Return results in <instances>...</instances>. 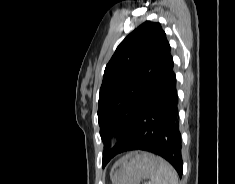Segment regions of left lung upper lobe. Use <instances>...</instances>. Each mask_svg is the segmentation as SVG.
<instances>
[{
    "label": "left lung upper lobe",
    "mask_w": 235,
    "mask_h": 184,
    "mask_svg": "<svg viewBox=\"0 0 235 184\" xmlns=\"http://www.w3.org/2000/svg\"><path fill=\"white\" fill-rule=\"evenodd\" d=\"M166 43L161 25L146 21L119 44L108 62L100 88L98 121L104 148L108 147L112 135H116L119 142L113 149L104 150L103 167L131 136Z\"/></svg>",
    "instance_id": "5c2ea615"
}]
</instances>
